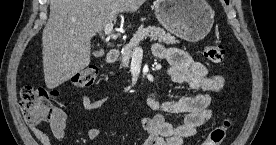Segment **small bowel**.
I'll return each mask as SVG.
<instances>
[{"instance_id":"c3829d8e","label":"small bowel","mask_w":276,"mask_h":145,"mask_svg":"<svg viewBox=\"0 0 276 145\" xmlns=\"http://www.w3.org/2000/svg\"><path fill=\"white\" fill-rule=\"evenodd\" d=\"M153 54L169 62L167 76L172 82L187 84L192 90L201 93L165 101L158 100L152 94L149 95L147 105L156 114L140 120L141 127L148 132L143 145H183L187 138L193 136L197 129L210 119L211 94L220 91L224 81L219 75H209L206 67L184 50L155 44ZM107 100V97L92 100L88 96H82L81 103L85 109L94 110L103 106ZM177 115H183V118L180 123L174 124L169 116ZM66 121V114L56 110L50 127L53 137L58 141L65 137ZM31 131L41 145H52L44 131L36 127H32ZM99 136V129L92 128L86 131L89 140H96Z\"/></svg>"}]
</instances>
